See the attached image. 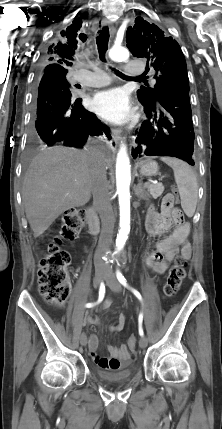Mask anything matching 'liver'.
<instances>
[{"instance_id": "liver-1", "label": "liver", "mask_w": 222, "mask_h": 429, "mask_svg": "<svg viewBox=\"0 0 222 429\" xmlns=\"http://www.w3.org/2000/svg\"><path fill=\"white\" fill-rule=\"evenodd\" d=\"M100 153L105 167L108 159L96 148L80 151L52 147L31 162L23 182L22 200L34 236L43 234L65 211L84 206L91 198L94 158Z\"/></svg>"}]
</instances>
